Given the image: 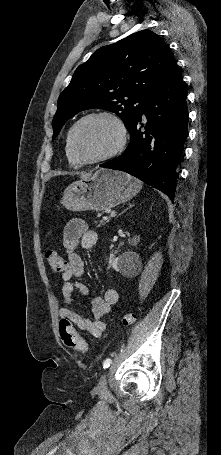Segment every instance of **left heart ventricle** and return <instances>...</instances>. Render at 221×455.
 I'll use <instances>...</instances> for the list:
<instances>
[{
  "label": "left heart ventricle",
  "instance_id": "left-heart-ventricle-1",
  "mask_svg": "<svg viewBox=\"0 0 221 455\" xmlns=\"http://www.w3.org/2000/svg\"><path fill=\"white\" fill-rule=\"evenodd\" d=\"M118 141L116 127L105 119H91L80 125L76 148L84 158H95L109 152Z\"/></svg>",
  "mask_w": 221,
  "mask_h": 455
}]
</instances>
